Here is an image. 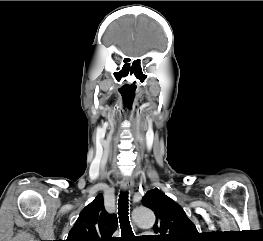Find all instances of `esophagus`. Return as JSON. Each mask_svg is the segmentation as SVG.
<instances>
[{"label": "esophagus", "instance_id": "1", "mask_svg": "<svg viewBox=\"0 0 263 241\" xmlns=\"http://www.w3.org/2000/svg\"><path fill=\"white\" fill-rule=\"evenodd\" d=\"M130 186H131V181L127 177H124L123 180L121 181L122 191H128Z\"/></svg>", "mask_w": 263, "mask_h": 241}]
</instances>
